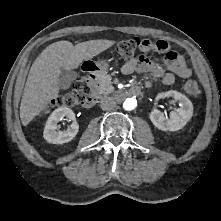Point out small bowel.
Segmentation results:
<instances>
[{"instance_id":"small-bowel-1","label":"small bowel","mask_w":221,"mask_h":221,"mask_svg":"<svg viewBox=\"0 0 221 221\" xmlns=\"http://www.w3.org/2000/svg\"><path fill=\"white\" fill-rule=\"evenodd\" d=\"M142 52H149L155 50L158 56L164 54V67L158 63H155L145 56L130 59L122 66V72L124 74H132L135 72L145 73L150 72L153 78H160L165 85H171L176 76L182 79L189 78L191 76V70L185 63L182 56L176 52L169 50V45L166 41L160 40L156 43H152L149 40H144V44L140 48ZM152 85V80L147 82V86Z\"/></svg>"}]
</instances>
